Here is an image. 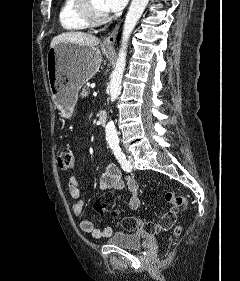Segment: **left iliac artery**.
<instances>
[{
	"instance_id": "1",
	"label": "left iliac artery",
	"mask_w": 240,
	"mask_h": 281,
	"mask_svg": "<svg viewBox=\"0 0 240 281\" xmlns=\"http://www.w3.org/2000/svg\"><path fill=\"white\" fill-rule=\"evenodd\" d=\"M110 147L113 150V153H114L116 159L118 160V162L120 163L122 169L124 171H127V172L132 171V165L126 159V156L122 152L119 144L118 143H113V144L110 145Z\"/></svg>"
}]
</instances>
